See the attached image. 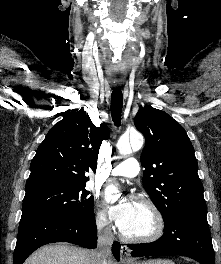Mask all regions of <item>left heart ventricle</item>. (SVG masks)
<instances>
[{"label":"left heart ventricle","instance_id":"b2bd125f","mask_svg":"<svg viewBox=\"0 0 221 264\" xmlns=\"http://www.w3.org/2000/svg\"><path fill=\"white\" fill-rule=\"evenodd\" d=\"M154 219L150 211L136 203L134 214L122 231L130 236H144L153 231Z\"/></svg>","mask_w":221,"mask_h":264}]
</instances>
